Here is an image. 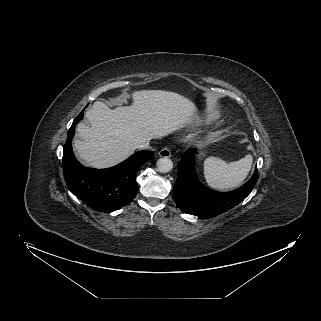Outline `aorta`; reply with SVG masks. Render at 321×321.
I'll return each instance as SVG.
<instances>
[{"mask_svg":"<svg viewBox=\"0 0 321 321\" xmlns=\"http://www.w3.org/2000/svg\"><path fill=\"white\" fill-rule=\"evenodd\" d=\"M156 166H157V170L159 172L167 173L172 170L173 162L171 161V159H169L167 157H163V158L158 159Z\"/></svg>","mask_w":321,"mask_h":321,"instance_id":"aorta-1","label":"aorta"}]
</instances>
